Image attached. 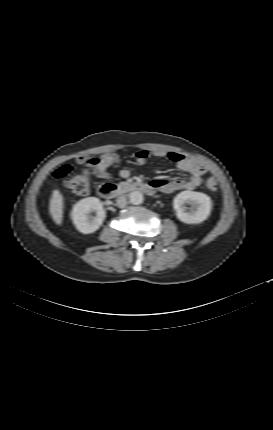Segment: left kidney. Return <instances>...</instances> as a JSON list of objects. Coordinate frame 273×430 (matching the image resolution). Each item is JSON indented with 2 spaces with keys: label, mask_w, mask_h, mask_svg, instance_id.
Segmentation results:
<instances>
[{
  "label": "left kidney",
  "mask_w": 273,
  "mask_h": 430,
  "mask_svg": "<svg viewBox=\"0 0 273 430\" xmlns=\"http://www.w3.org/2000/svg\"><path fill=\"white\" fill-rule=\"evenodd\" d=\"M190 205L191 208L186 207ZM177 218L186 224H199L206 220L212 208L211 198L201 192L183 191L173 201ZM190 209L189 211H187Z\"/></svg>",
  "instance_id": "5707ae66"
}]
</instances>
